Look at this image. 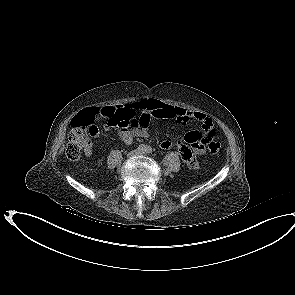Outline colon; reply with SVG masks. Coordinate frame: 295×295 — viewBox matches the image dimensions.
I'll list each match as a JSON object with an SVG mask.
<instances>
[{"label":"colon","mask_w":295,"mask_h":295,"mask_svg":"<svg viewBox=\"0 0 295 295\" xmlns=\"http://www.w3.org/2000/svg\"><path fill=\"white\" fill-rule=\"evenodd\" d=\"M100 117L105 119H112L113 111L111 107H106L102 109H94L86 113H82L76 116L72 123L71 129L68 134V142L66 145V156L72 160H79L82 152L85 151L87 147L90 146L91 138H93L97 133V126L94 124V119ZM121 127H135L137 126V121H130L125 119L123 122L118 124ZM207 143L209 153L216 155L219 153L220 146L214 140L215 130L210 128L206 131Z\"/></svg>","instance_id":"colon-1"}]
</instances>
